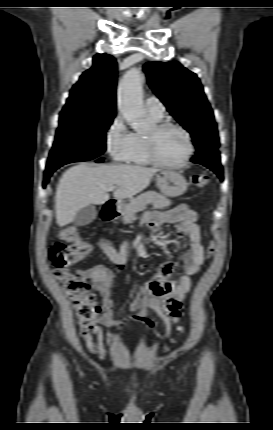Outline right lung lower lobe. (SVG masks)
I'll return each instance as SVG.
<instances>
[{
    "mask_svg": "<svg viewBox=\"0 0 273 430\" xmlns=\"http://www.w3.org/2000/svg\"><path fill=\"white\" fill-rule=\"evenodd\" d=\"M102 161H103V159H99V160H97L96 162H102ZM55 170H56V169H55ZM55 170H51V171H48V172H46V173H45L44 182H43V185H44V186H45V184L49 181L50 176L52 175V173H53Z\"/></svg>",
    "mask_w": 273,
    "mask_h": 430,
    "instance_id": "right-lung-lower-lobe-1",
    "label": "right lung lower lobe"
}]
</instances>
